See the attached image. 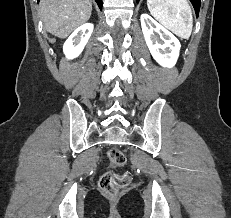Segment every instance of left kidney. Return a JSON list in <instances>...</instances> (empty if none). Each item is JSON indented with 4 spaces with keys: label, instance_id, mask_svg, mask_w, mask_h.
Instances as JSON below:
<instances>
[{
    "label": "left kidney",
    "instance_id": "left-kidney-1",
    "mask_svg": "<svg viewBox=\"0 0 231 218\" xmlns=\"http://www.w3.org/2000/svg\"><path fill=\"white\" fill-rule=\"evenodd\" d=\"M141 27L153 58L163 67L172 68L179 57L180 42L150 15L142 14Z\"/></svg>",
    "mask_w": 231,
    "mask_h": 218
}]
</instances>
